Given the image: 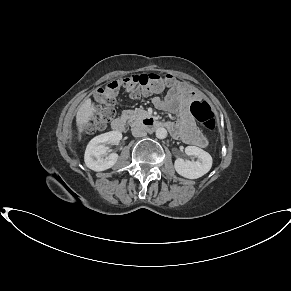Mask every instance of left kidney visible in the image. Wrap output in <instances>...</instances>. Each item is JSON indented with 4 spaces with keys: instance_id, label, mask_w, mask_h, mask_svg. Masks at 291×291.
Segmentation results:
<instances>
[{
    "instance_id": "left-kidney-1",
    "label": "left kidney",
    "mask_w": 291,
    "mask_h": 291,
    "mask_svg": "<svg viewBox=\"0 0 291 291\" xmlns=\"http://www.w3.org/2000/svg\"><path fill=\"white\" fill-rule=\"evenodd\" d=\"M185 153L188 156H195L197 161L176 159L174 167L179 175L188 179H197L209 172L212 167V157L209 153L196 146H187Z\"/></svg>"
}]
</instances>
